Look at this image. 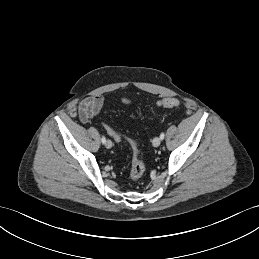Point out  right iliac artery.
I'll return each instance as SVG.
<instances>
[{"label":"right iliac artery","instance_id":"82829eb1","mask_svg":"<svg viewBox=\"0 0 259 259\" xmlns=\"http://www.w3.org/2000/svg\"><path fill=\"white\" fill-rule=\"evenodd\" d=\"M101 141H102L103 144H105L106 143V138L104 136H102Z\"/></svg>","mask_w":259,"mask_h":259}]
</instances>
